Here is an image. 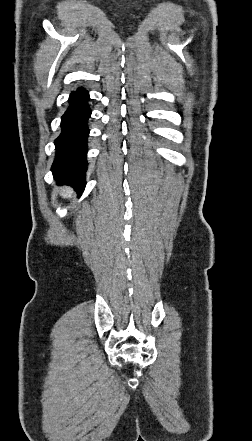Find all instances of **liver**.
I'll list each match as a JSON object with an SVG mask.
<instances>
[{
	"label": "liver",
	"instance_id": "obj_1",
	"mask_svg": "<svg viewBox=\"0 0 252 441\" xmlns=\"http://www.w3.org/2000/svg\"><path fill=\"white\" fill-rule=\"evenodd\" d=\"M72 194H73V191H72V189L69 188V187L64 188V189L62 190V192H61V195H62L63 197H65V198H71V197H72Z\"/></svg>",
	"mask_w": 252,
	"mask_h": 441
}]
</instances>
